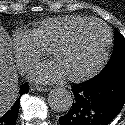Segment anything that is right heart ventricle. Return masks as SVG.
Instances as JSON below:
<instances>
[{"mask_svg":"<svg viewBox=\"0 0 125 125\" xmlns=\"http://www.w3.org/2000/svg\"><path fill=\"white\" fill-rule=\"evenodd\" d=\"M91 18L82 16H59L42 19L34 24L32 32L39 44L45 49L51 45L70 27Z\"/></svg>","mask_w":125,"mask_h":125,"instance_id":"1","label":"right heart ventricle"}]
</instances>
